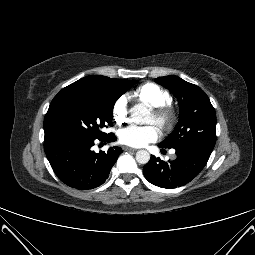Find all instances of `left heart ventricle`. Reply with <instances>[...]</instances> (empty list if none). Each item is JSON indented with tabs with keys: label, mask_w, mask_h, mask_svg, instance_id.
<instances>
[{
	"label": "left heart ventricle",
	"mask_w": 255,
	"mask_h": 255,
	"mask_svg": "<svg viewBox=\"0 0 255 255\" xmlns=\"http://www.w3.org/2000/svg\"><path fill=\"white\" fill-rule=\"evenodd\" d=\"M148 123H154V115H153V113L151 112L150 113V116H149V118H148V121H147Z\"/></svg>",
	"instance_id": "b2bd125f"
}]
</instances>
